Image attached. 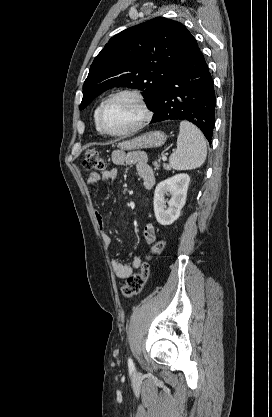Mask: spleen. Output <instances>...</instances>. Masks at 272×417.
<instances>
[{
	"label": "spleen",
	"instance_id": "1",
	"mask_svg": "<svg viewBox=\"0 0 272 417\" xmlns=\"http://www.w3.org/2000/svg\"><path fill=\"white\" fill-rule=\"evenodd\" d=\"M207 156L206 140L202 132L188 121L180 122L177 149L169 158L171 168L191 170L203 165Z\"/></svg>",
	"mask_w": 272,
	"mask_h": 417
}]
</instances>
